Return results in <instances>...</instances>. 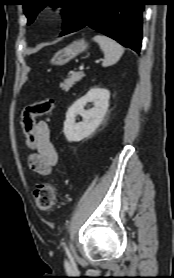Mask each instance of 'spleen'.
<instances>
[{"instance_id":"spleen-1","label":"spleen","mask_w":174,"mask_h":278,"mask_svg":"<svg viewBox=\"0 0 174 278\" xmlns=\"http://www.w3.org/2000/svg\"><path fill=\"white\" fill-rule=\"evenodd\" d=\"M93 40L97 42L104 53V67L115 64L124 53L123 47L115 40L105 36L96 35Z\"/></svg>"}]
</instances>
